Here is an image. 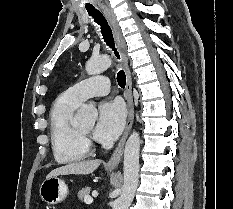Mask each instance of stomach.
<instances>
[{
    "mask_svg": "<svg viewBox=\"0 0 233 209\" xmlns=\"http://www.w3.org/2000/svg\"><path fill=\"white\" fill-rule=\"evenodd\" d=\"M41 199L49 204L55 205L62 202L69 194L68 186L58 176L46 178L39 189Z\"/></svg>",
    "mask_w": 233,
    "mask_h": 209,
    "instance_id": "0dacf381",
    "label": "stomach"
}]
</instances>
